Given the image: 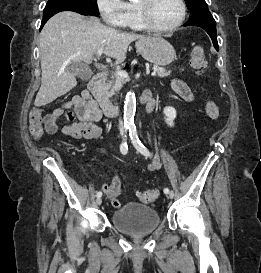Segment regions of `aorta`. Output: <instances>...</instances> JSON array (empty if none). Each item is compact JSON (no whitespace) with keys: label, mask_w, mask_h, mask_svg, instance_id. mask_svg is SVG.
<instances>
[{"label":"aorta","mask_w":261,"mask_h":273,"mask_svg":"<svg viewBox=\"0 0 261 273\" xmlns=\"http://www.w3.org/2000/svg\"><path fill=\"white\" fill-rule=\"evenodd\" d=\"M136 112V97L134 92L129 91L124 101V125L127 129L133 130L135 127L134 116Z\"/></svg>","instance_id":"1"}]
</instances>
